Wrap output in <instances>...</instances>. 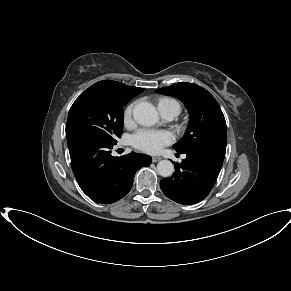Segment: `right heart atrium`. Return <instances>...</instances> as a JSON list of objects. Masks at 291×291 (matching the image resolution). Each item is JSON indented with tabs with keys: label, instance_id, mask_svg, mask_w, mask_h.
I'll return each mask as SVG.
<instances>
[{
	"label": "right heart atrium",
	"instance_id": "d8ad5b80",
	"mask_svg": "<svg viewBox=\"0 0 291 291\" xmlns=\"http://www.w3.org/2000/svg\"><path fill=\"white\" fill-rule=\"evenodd\" d=\"M133 108H134V103L129 104L123 113V122L125 125H129L132 120V114H133Z\"/></svg>",
	"mask_w": 291,
	"mask_h": 291
}]
</instances>
